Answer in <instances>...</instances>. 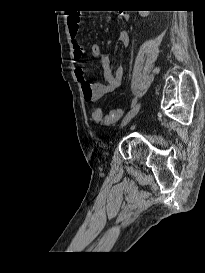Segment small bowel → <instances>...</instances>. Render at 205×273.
<instances>
[{"mask_svg":"<svg viewBox=\"0 0 205 273\" xmlns=\"http://www.w3.org/2000/svg\"><path fill=\"white\" fill-rule=\"evenodd\" d=\"M127 14H122V18H127ZM81 21L77 15L68 17L69 33L72 40V54L75 61H80L83 58L84 49L77 39ZM118 41L126 46L129 44L130 37L128 32L122 31L118 36ZM91 53L94 57H101V67L105 83L95 82L89 83L86 79L85 72L82 67L78 66L75 69V76L82 85L84 99L88 103L98 101L104 95L114 91L121 83L123 76L122 67L118 66L115 70L112 69L111 61L108 56L102 54L101 47L97 43L90 46Z\"/></svg>","mask_w":205,"mask_h":273,"instance_id":"obj_1","label":"small bowel"}]
</instances>
